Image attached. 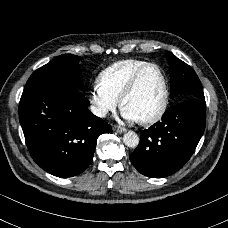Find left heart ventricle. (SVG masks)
Wrapping results in <instances>:
<instances>
[{"instance_id": "b2bd125f", "label": "left heart ventricle", "mask_w": 228, "mask_h": 228, "mask_svg": "<svg viewBox=\"0 0 228 228\" xmlns=\"http://www.w3.org/2000/svg\"><path fill=\"white\" fill-rule=\"evenodd\" d=\"M163 102V79L158 70L151 68L142 76L136 91L126 100L124 109L142 120L155 115Z\"/></svg>"}]
</instances>
